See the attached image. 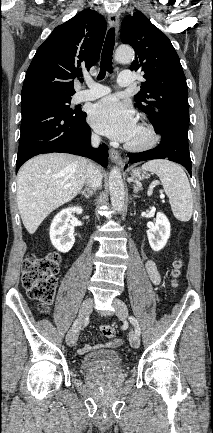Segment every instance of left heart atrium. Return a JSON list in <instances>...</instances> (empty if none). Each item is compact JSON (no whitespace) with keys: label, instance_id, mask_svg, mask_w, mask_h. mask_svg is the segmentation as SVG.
Wrapping results in <instances>:
<instances>
[{"label":"left heart atrium","instance_id":"left-heart-atrium-1","mask_svg":"<svg viewBox=\"0 0 213 433\" xmlns=\"http://www.w3.org/2000/svg\"><path fill=\"white\" fill-rule=\"evenodd\" d=\"M89 122L98 132L122 142L128 141L137 127L130 104L114 96L107 97L92 107Z\"/></svg>","mask_w":213,"mask_h":433}]
</instances>
